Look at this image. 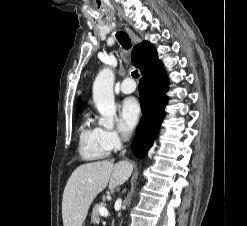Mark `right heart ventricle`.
Returning <instances> with one entry per match:
<instances>
[{"mask_svg": "<svg viewBox=\"0 0 247 226\" xmlns=\"http://www.w3.org/2000/svg\"><path fill=\"white\" fill-rule=\"evenodd\" d=\"M78 150L86 161L103 159L110 150L103 140L102 129L89 116L85 117L79 127Z\"/></svg>", "mask_w": 247, "mask_h": 226, "instance_id": "right-heart-ventricle-1", "label": "right heart ventricle"}]
</instances>
